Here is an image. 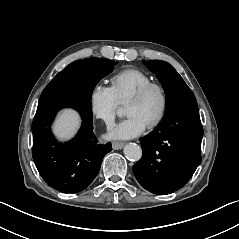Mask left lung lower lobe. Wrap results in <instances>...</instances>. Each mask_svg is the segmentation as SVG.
<instances>
[{"label":"left lung lower lobe","mask_w":239,"mask_h":239,"mask_svg":"<svg viewBox=\"0 0 239 239\" xmlns=\"http://www.w3.org/2000/svg\"><path fill=\"white\" fill-rule=\"evenodd\" d=\"M201 125L196 100L168 111L159 126L142 138V158L133 173L146 190L166 195L182 188L201 162Z\"/></svg>","instance_id":"1"}]
</instances>
